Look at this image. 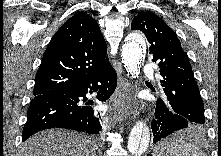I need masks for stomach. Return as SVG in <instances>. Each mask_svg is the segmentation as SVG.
<instances>
[{"mask_svg":"<svg viewBox=\"0 0 221 156\" xmlns=\"http://www.w3.org/2000/svg\"><path fill=\"white\" fill-rule=\"evenodd\" d=\"M154 156H168V155L167 151L162 146L155 151Z\"/></svg>","mask_w":221,"mask_h":156,"instance_id":"obj_1","label":"stomach"}]
</instances>
